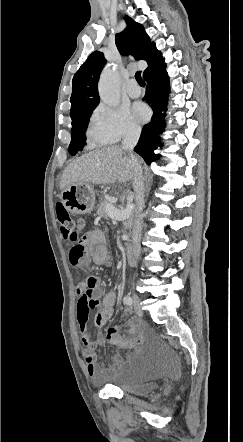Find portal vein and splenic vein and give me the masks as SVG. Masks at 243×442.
<instances>
[{
  "instance_id": "portal-vein-and-splenic-vein-1",
  "label": "portal vein and splenic vein",
  "mask_w": 243,
  "mask_h": 442,
  "mask_svg": "<svg viewBox=\"0 0 243 442\" xmlns=\"http://www.w3.org/2000/svg\"><path fill=\"white\" fill-rule=\"evenodd\" d=\"M133 209V205H128L124 210H118L114 206H107L106 212L108 216L115 220H124L129 217L131 211Z\"/></svg>"
}]
</instances>
